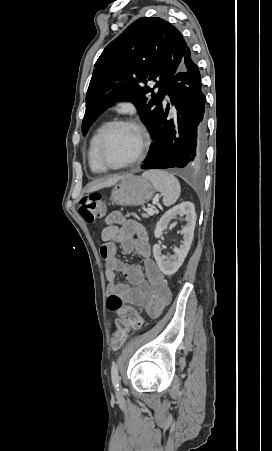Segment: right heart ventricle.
Returning <instances> with one entry per match:
<instances>
[{
	"mask_svg": "<svg viewBox=\"0 0 272 451\" xmlns=\"http://www.w3.org/2000/svg\"><path fill=\"white\" fill-rule=\"evenodd\" d=\"M101 131H102V129H99L97 131V133L93 136L91 145H90V149L88 152L89 169L94 174H100L99 165H98L97 158H96V144H97V140H98V137H99V134Z\"/></svg>",
	"mask_w": 272,
	"mask_h": 451,
	"instance_id": "e07e8e85",
	"label": "right heart ventricle"
}]
</instances>
